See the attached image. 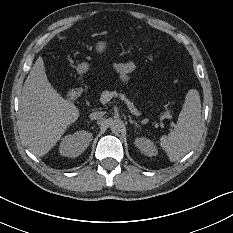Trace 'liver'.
<instances>
[{
  "mask_svg": "<svg viewBox=\"0 0 233 233\" xmlns=\"http://www.w3.org/2000/svg\"><path fill=\"white\" fill-rule=\"evenodd\" d=\"M77 108L49 84L43 60L38 57L23 85L20 99V134L29 149L44 155L65 126L78 118Z\"/></svg>",
  "mask_w": 233,
  "mask_h": 233,
  "instance_id": "1",
  "label": "liver"
}]
</instances>
